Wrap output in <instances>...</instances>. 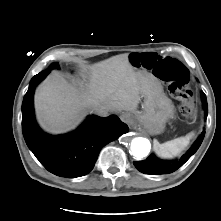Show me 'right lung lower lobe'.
Returning a JSON list of instances; mask_svg holds the SVG:
<instances>
[{"instance_id":"1","label":"right lung lower lobe","mask_w":221,"mask_h":221,"mask_svg":"<svg viewBox=\"0 0 221 221\" xmlns=\"http://www.w3.org/2000/svg\"><path fill=\"white\" fill-rule=\"evenodd\" d=\"M45 70L35 75L22 103V131L29 149L51 173L68 178L89 173L103 146L116 140L128 127L117 116H89L74 132L52 136L44 133L34 118L35 87L49 74Z\"/></svg>"}]
</instances>
